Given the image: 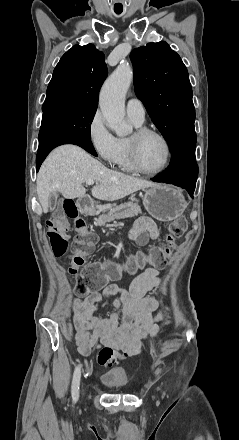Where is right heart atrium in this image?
<instances>
[{
    "label": "right heart atrium",
    "instance_id": "right-heart-atrium-1",
    "mask_svg": "<svg viewBox=\"0 0 239 440\" xmlns=\"http://www.w3.org/2000/svg\"><path fill=\"white\" fill-rule=\"evenodd\" d=\"M87 137L93 150L105 163L116 164L121 152V142L110 132L99 110L88 123Z\"/></svg>",
    "mask_w": 239,
    "mask_h": 440
}]
</instances>
